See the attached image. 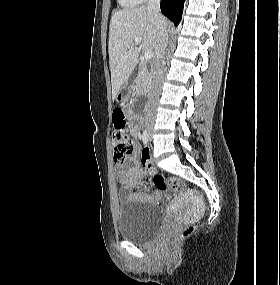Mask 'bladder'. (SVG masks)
<instances>
[{
    "mask_svg": "<svg viewBox=\"0 0 280 285\" xmlns=\"http://www.w3.org/2000/svg\"><path fill=\"white\" fill-rule=\"evenodd\" d=\"M164 223L161 210L144 200H128L117 209L119 236L139 245L156 237Z\"/></svg>",
    "mask_w": 280,
    "mask_h": 285,
    "instance_id": "1",
    "label": "bladder"
}]
</instances>
